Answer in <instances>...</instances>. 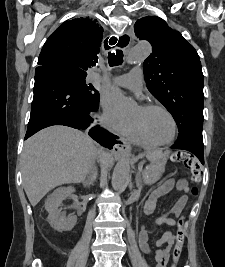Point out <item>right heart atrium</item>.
<instances>
[{
	"label": "right heart atrium",
	"mask_w": 225,
	"mask_h": 267,
	"mask_svg": "<svg viewBox=\"0 0 225 267\" xmlns=\"http://www.w3.org/2000/svg\"><path fill=\"white\" fill-rule=\"evenodd\" d=\"M101 108V119L108 129L120 135H124L129 130L131 122L122 118L108 100H102Z\"/></svg>",
	"instance_id": "1"
}]
</instances>
